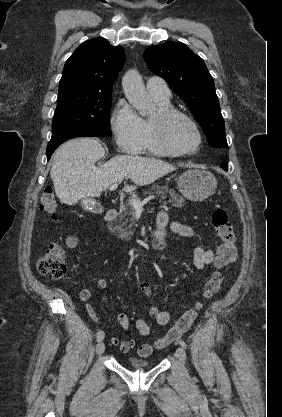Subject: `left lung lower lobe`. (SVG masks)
Here are the masks:
<instances>
[{
  "label": "left lung lower lobe",
  "mask_w": 282,
  "mask_h": 417,
  "mask_svg": "<svg viewBox=\"0 0 282 417\" xmlns=\"http://www.w3.org/2000/svg\"><path fill=\"white\" fill-rule=\"evenodd\" d=\"M222 168H223L224 170H227L226 163L222 164Z\"/></svg>",
  "instance_id": "1"
}]
</instances>
